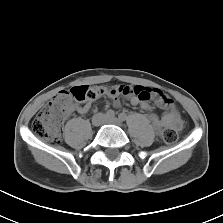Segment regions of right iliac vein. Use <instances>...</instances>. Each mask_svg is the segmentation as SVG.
I'll list each match as a JSON object with an SVG mask.
<instances>
[{
    "instance_id": "right-iliac-vein-1",
    "label": "right iliac vein",
    "mask_w": 223,
    "mask_h": 223,
    "mask_svg": "<svg viewBox=\"0 0 223 223\" xmlns=\"http://www.w3.org/2000/svg\"><path fill=\"white\" fill-rule=\"evenodd\" d=\"M104 119H105V116L103 114H97L92 119V124L94 126H99L104 121Z\"/></svg>"
}]
</instances>
